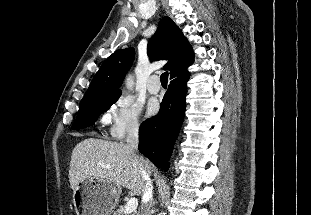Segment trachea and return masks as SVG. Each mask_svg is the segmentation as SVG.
Listing matches in <instances>:
<instances>
[{
    "mask_svg": "<svg viewBox=\"0 0 311 215\" xmlns=\"http://www.w3.org/2000/svg\"><path fill=\"white\" fill-rule=\"evenodd\" d=\"M160 81L162 85H166L168 83V72H164L161 74Z\"/></svg>",
    "mask_w": 311,
    "mask_h": 215,
    "instance_id": "obj_1",
    "label": "trachea"
}]
</instances>
